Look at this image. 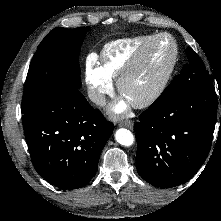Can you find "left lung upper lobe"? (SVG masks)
<instances>
[{"instance_id":"5c2ea615","label":"left lung upper lobe","mask_w":221,"mask_h":221,"mask_svg":"<svg viewBox=\"0 0 221 221\" xmlns=\"http://www.w3.org/2000/svg\"><path fill=\"white\" fill-rule=\"evenodd\" d=\"M188 63L184 65L182 71L163 91V94H171L178 90H183L194 83H213L212 76L206 70L202 59L190 47L186 49Z\"/></svg>"}]
</instances>
